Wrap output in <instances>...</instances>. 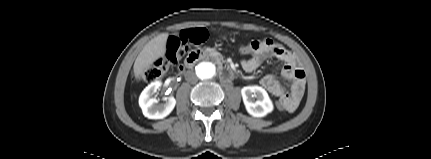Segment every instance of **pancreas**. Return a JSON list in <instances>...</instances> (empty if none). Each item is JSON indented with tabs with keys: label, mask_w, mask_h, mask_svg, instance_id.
Here are the masks:
<instances>
[{
	"label": "pancreas",
	"mask_w": 431,
	"mask_h": 159,
	"mask_svg": "<svg viewBox=\"0 0 431 159\" xmlns=\"http://www.w3.org/2000/svg\"><path fill=\"white\" fill-rule=\"evenodd\" d=\"M205 52L208 53V54H210V55L217 54L216 51L214 49H212V48H206Z\"/></svg>",
	"instance_id": "1"
}]
</instances>
